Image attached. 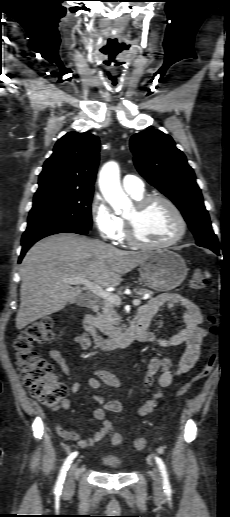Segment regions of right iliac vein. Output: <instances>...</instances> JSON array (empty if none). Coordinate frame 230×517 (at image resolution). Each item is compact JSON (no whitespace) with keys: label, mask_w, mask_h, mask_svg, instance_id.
<instances>
[{"label":"right iliac vein","mask_w":230,"mask_h":517,"mask_svg":"<svg viewBox=\"0 0 230 517\" xmlns=\"http://www.w3.org/2000/svg\"><path fill=\"white\" fill-rule=\"evenodd\" d=\"M78 474H79V470L77 468V464L73 463L70 466V468L68 469V472L66 475L64 488H63L64 493H70L73 491L74 485H75V478Z\"/></svg>","instance_id":"right-iliac-vein-1"}]
</instances>
